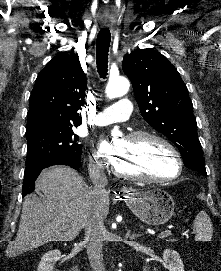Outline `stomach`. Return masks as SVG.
I'll use <instances>...</instances> for the list:
<instances>
[{"mask_svg":"<svg viewBox=\"0 0 221 271\" xmlns=\"http://www.w3.org/2000/svg\"><path fill=\"white\" fill-rule=\"evenodd\" d=\"M125 201L136 217L149 225H161L171 219L174 213V201L163 189L152 187L147 191L128 189Z\"/></svg>","mask_w":221,"mask_h":271,"instance_id":"obj_1","label":"stomach"}]
</instances>
